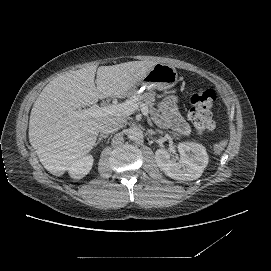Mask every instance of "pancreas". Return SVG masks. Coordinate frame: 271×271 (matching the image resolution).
Wrapping results in <instances>:
<instances>
[{"instance_id": "cf45deb5", "label": "pancreas", "mask_w": 271, "mask_h": 271, "mask_svg": "<svg viewBox=\"0 0 271 271\" xmlns=\"http://www.w3.org/2000/svg\"><path fill=\"white\" fill-rule=\"evenodd\" d=\"M135 100L137 104H145L150 109L153 107V102L155 101V92H147L144 94H132L128 97L127 101ZM175 137V136H174Z\"/></svg>"}]
</instances>
